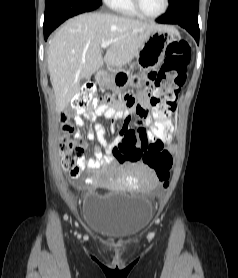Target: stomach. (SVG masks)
Returning a JSON list of instances; mask_svg holds the SVG:
<instances>
[{
	"instance_id": "stomach-1",
	"label": "stomach",
	"mask_w": 238,
	"mask_h": 278,
	"mask_svg": "<svg viewBox=\"0 0 238 278\" xmlns=\"http://www.w3.org/2000/svg\"><path fill=\"white\" fill-rule=\"evenodd\" d=\"M178 35L177 29L172 26H163L152 31L137 54L138 68L142 74L134 76V69H118V73L102 71L96 75L97 83L106 88L118 86L116 93L122 88L132 89V85L145 84L143 73L149 71V67H158L162 63L167 46L176 41Z\"/></svg>"
}]
</instances>
